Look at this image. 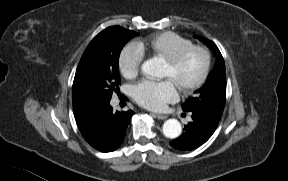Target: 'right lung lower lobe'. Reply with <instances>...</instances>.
<instances>
[{
  "label": "right lung lower lobe",
  "instance_id": "1",
  "mask_svg": "<svg viewBox=\"0 0 288 181\" xmlns=\"http://www.w3.org/2000/svg\"><path fill=\"white\" fill-rule=\"evenodd\" d=\"M110 104H106L104 112L100 117L96 139L88 142L91 146L101 152H111L116 150L125 137V131L129 124L133 111L112 112Z\"/></svg>",
  "mask_w": 288,
  "mask_h": 181
}]
</instances>
